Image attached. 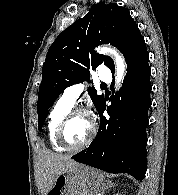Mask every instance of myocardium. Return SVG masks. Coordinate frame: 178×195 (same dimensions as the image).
<instances>
[{
    "instance_id": "obj_1",
    "label": "myocardium",
    "mask_w": 178,
    "mask_h": 195,
    "mask_svg": "<svg viewBox=\"0 0 178 195\" xmlns=\"http://www.w3.org/2000/svg\"><path fill=\"white\" fill-rule=\"evenodd\" d=\"M80 115H85L89 117L91 123L90 134L82 144L78 146H70L65 140V131L70 121L73 118ZM95 135H96V124L93 118L91 117L90 113L84 108H72L70 111L67 112V114L61 120L56 131V140L58 144L62 146L65 150L75 152V151L83 150L84 148L89 146L93 141V139L95 138Z\"/></svg>"
}]
</instances>
